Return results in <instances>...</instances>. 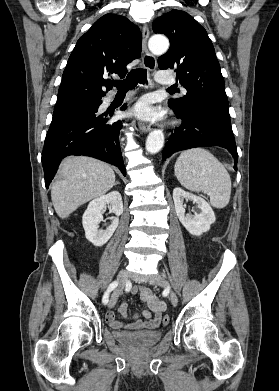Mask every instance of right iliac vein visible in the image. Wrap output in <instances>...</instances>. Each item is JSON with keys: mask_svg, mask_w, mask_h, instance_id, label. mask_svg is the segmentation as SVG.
<instances>
[{"mask_svg": "<svg viewBox=\"0 0 279 391\" xmlns=\"http://www.w3.org/2000/svg\"><path fill=\"white\" fill-rule=\"evenodd\" d=\"M126 277H127L126 271L121 270L117 276V283H118L117 288L115 289L114 293L112 294L110 301H109V304H108L109 308H112L114 306L118 297L122 293L123 288L125 286Z\"/></svg>", "mask_w": 279, "mask_h": 391, "instance_id": "63e3f726", "label": "right iliac vein"}]
</instances>
